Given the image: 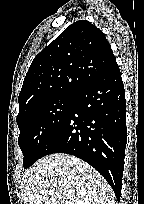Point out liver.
Masks as SVG:
<instances>
[{
  "label": "liver",
  "instance_id": "liver-1",
  "mask_svg": "<svg viewBox=\"0 0 144 204\" xmlns=\"http://www.w3.org/2000/svg\"><path fill=\"white\" fill-rule=\"evenodd\" d=\"M21 189L24 204H114L115 197L93 167L64 153L38 160L23 175Z\"/></svg>",
  "mask_w": 144,
  "mask_h": 204
}]
</instances>
